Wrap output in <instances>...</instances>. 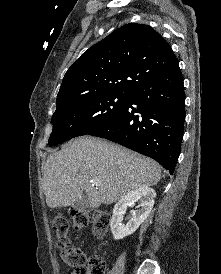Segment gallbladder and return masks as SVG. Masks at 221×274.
<instances>
[{
  "label": "gallbladder",
  "mask_w": 221,
  "mask_h": 274,
  "mask_svg": "<svg viewBox=\"0 0 221 274\" xmlns=\"http://www.w3.org/2000/svg\"><path fill=\"white\" fill-rule=\"evenodd\" d=\"M89 205V201H88V197L86 194H83L81 198H79L73 205L72 207L75 210H84L88 207Z\"/></svg>",
  "instance_id": "gallbladder-1"
}]
</instances>
